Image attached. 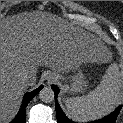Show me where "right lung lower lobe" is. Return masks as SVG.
<instances>
[{
    "mask_svg": "<svg viewBox=\"0 0 123 123\" xmlns=\"http://www.w3.org/2000/svg\"><path fill=\"white\" fill-rule=\"evenodd\" d=\"M42 88H43V86H40L39 88L35 89L34 91L29 92L24 95L21 109H20L18 115L16 116V118L11 123H26V118H25L26 107H27L28 103L30 102V100L34 96H36Z\"/></svg>",
    "mask_w": 123,
    "mask_h": 123,
    "instance_id": "1",
    "label": "right lung lower lobe"
}]
</instances>
